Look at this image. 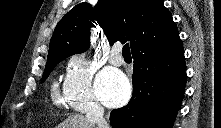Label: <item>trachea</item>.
Returning a JSON list of instances; mask_svg holds the SVG:
<instances>
[{
    "mask_svg": "<svg viewBox=\"0 0 221 128\" xmlns=\"http://www.w3.org/2000/svg\"><path fill=\"white\" fill-rule=\"evenodd\" d=\"M122 44H124L123 50H122V55H123L124 57H131L129 44L126 43V41H125V42H122Z\"/></svg>",
    "mask_w": 221,
    "mask_h": 128,
    "instance_id": "1",
    "label": "trachea"
}]
</instances>
